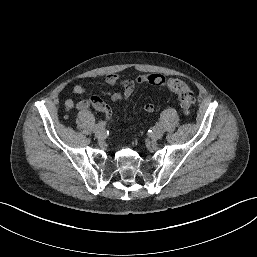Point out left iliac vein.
I'll return each mask as SVG.
<instances>
[{
  "label": "left iliac vein",
  "mask_w": 257,
  "mask_h": 257,
  "mask_svg": "<svg viewBox=\"0 0 257 257\" xmlns=\"http://www.w3.org/2000/svg\"><path fill=\"white\" fill-rule=\"evenodd\" d=\"M163 137V130L161 128H157L152 134L151 138L153 140H158Z\"/></svg>",
  "instance_id": "left-iliac-vein-1"
}]
</instances>
